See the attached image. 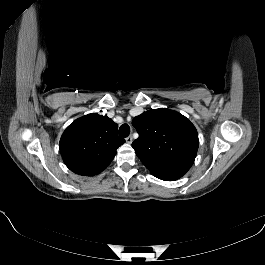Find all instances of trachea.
I'll use <instances>...</instances> for the list:
<instances>
[{
  "label": "trachea",
  "instance_id": "3493384b",
  "mask_svg": "<svg viewBox=\"0 0 265 265\" xmlns=\"http://www.w3.org/2000/svg\"><path fill=\"white\" fill-rule=\"evenodd\" d=\"M130 134V127L128 124H122L119 128V135L121 137H128Z\"/></svg>",
  "mask_w": 265,
  "mask_h": 265
}]
</instances>
